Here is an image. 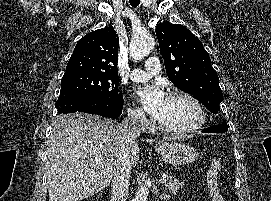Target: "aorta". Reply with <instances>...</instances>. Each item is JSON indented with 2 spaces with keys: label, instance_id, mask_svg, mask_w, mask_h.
Instances as JSON below:
<instances>
[{
  "label": "aorta",
  "instance_id": "obj_1",
  "mask_svg": "<svg viewBox=\"0 0 271 201\" xmlns=\"http://www.w3.org/2000/svg\"><path fill=\"white\" fill-rule=\"evenodd\" d=\"M155 46V40L151 35L138 34L134 35L130 41V57L134 60H141L148 56ZM148 188L145 184H142L133 199V201H147Z\"/></svg>",
  "mask_w": 271,
  "mask_h": 201
}]
</instances>
